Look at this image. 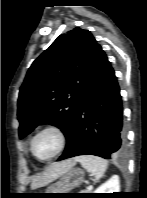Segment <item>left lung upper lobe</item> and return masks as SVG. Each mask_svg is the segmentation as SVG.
I'll return each mask as SVG.
<instances>
[{
  "label": "left lung upper lobe",
  "instance_id": "obj_1",
  "mask_svg": "<svg viewBox=\"0 0 147 198\" xmlns=\"http://www.w3.org/2000/svg\"><path fill=\"white\" fill-rule=\"evenodd\" d=\"M98 43L75 28L57 37L29 68L18 98L19 136L49 123L71 131L86 89Z\"/></svg>",
  "mask_w": 147,
  "mask_h": 198
}]
</instances>
